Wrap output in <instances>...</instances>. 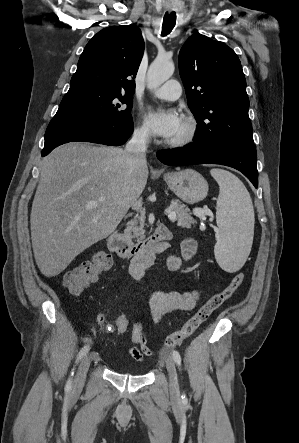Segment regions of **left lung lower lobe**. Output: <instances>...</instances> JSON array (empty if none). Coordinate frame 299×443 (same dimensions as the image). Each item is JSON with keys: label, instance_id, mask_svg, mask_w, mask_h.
<instances>
[{"label": "left lung lower lobe", "instance_id": "0a47b994", "mask_svg": "<svg viewBox=\"0 0 299 443\" xmlns=\"http://www.w3.org/2000/svg\"><path fill=\"white\" fill-rule=\"evenodd\" d=\"M158 159L166 165L220 164L242 172L258 187L257 155L254 144L208 146L191 143L183 148L157 152Z\"/></svg>", "mask_w": 299, "mask_h": 443}]
</instances>
